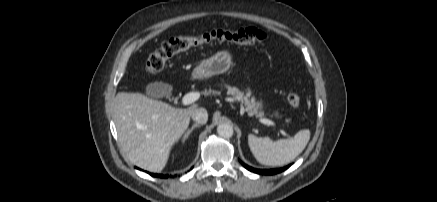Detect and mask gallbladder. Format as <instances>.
Listing matches in <instances>:
<instances>
[{"label": "gallbladder", "mask_w": 437, "mask_h": 202, "mask_svg": "<svg viewBox=\"0 0 437 202\" xmlns=\"http://www.w3.org/2000/svg\"><path fill=\"white\" fill-rule=\"evenodd\" d=\"M169 86L162 82L149 83L146 86V95L150 98H162L168 94Z\"/></svg>", "instance_id": "1"}]
</instances>
